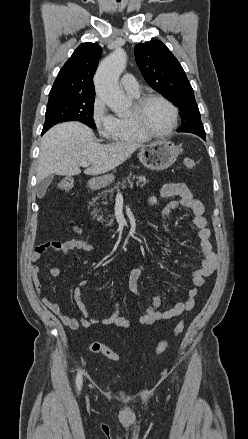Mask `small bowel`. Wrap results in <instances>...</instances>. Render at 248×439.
<instances>
[{
  "label": "small bowel",
  "instance_id": "small-bowel-1",
  "mask_svg": "<svg viewBox=\"0 0 248 439\" xmlns=\"http://www.w3.org/2000/svg\"><path fill=\"white\" fill-rule=\"evenodd\" d=\"M176 199L170 201L162 210L161 218L164 220L174 209L183 207L191 211L194 215L192 220L193 227L197 230V237L199 240V246L202 254L201 265L198 269L192 273V287L188 291L187 297L184 301L178 302L173 308L161 311V297L154 296L146 310V312L137 319V323L140 325H151L161 320H169L180 316L181 314L190 311L195 305V298L199 293L200 288L205 282V278L211 276L217 269V257L212 250L211 244V231L208 228L207 219L204 216L205 207L203 203L196 199L188 186L184 183H168L165 184L157 196H152L149 200L151 205L157 203L160 198ZM163 230L167 231V226L162 221ZM47 250H53L59 253L61 256H69L74 251L95 252L96 247L91 243L81 240L72 239L62 243H47L37 246L30 256L32 263L40 260L42 255ZM144 265L140 264L134 268L129 278V288L133 294L140 296L138 282L143 273ZM61 267L54 265L50 268L49 272L53 277H57L61 274ZM40 268L37 265L30 267V275L35 292L41 296L42 284L39 279ZM87 284V280H80L72 291V297L75 304L82 312V316L79 318L68 316L60 307V304L56 301H52L47 295L41 296L43 304L52 311L66 326L71 329H78L80 327L89 328L94 324L101 323L107 326H114L119 328H128L131 326L132 321L125 318L120 313L119 305L116 307L115 312L102 319L96 320L91 317L89 311L84 303L81 288Z\"/></svg>",
  "mask_w": 248,
  "mask_h": 439
}]
</instances>
